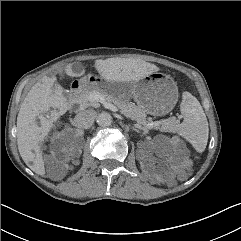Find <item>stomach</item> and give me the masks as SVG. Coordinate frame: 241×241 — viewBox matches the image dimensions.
Instances as JSON below:
<instances>
[{
    "label": "stomach",
    "mask_w": 241,
    "mask_h": 241,
    "mask_svg": "<svg viewBox=\"0 0 241 241\" xmlns=\"http://www.w3.org/2000/svg\"><path fill=\"white\" fill-rule=\"evenodd\" d=\"M86 89L96 88L116 100L133 98L136 106L147 114L161 116L169 113L178 101V88L174 80L154 72L133 82L108 81L102 77L88 76L81 79Z\"/></svg>",
    "instance_id": "0dacf381"
}]
</instances>
